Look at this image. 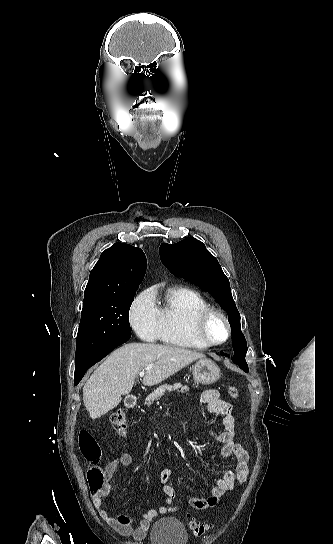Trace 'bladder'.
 I'll return each mask as SVG.
<instances>
[{"label":"bladder","mask_w":333,"mask_h":544,"mask_svg":"<svg viewBox=\"0 0 333 544\" xmlns=\"http://www.w3.org/2000/svg\"><path fill=\"white\" fill-rule=\"evenodd\" d=\"M188 535L183 523L174 517H164L155 522L151 544H187Z\"/></svg>","instance_id":"1"}]
</instances>
